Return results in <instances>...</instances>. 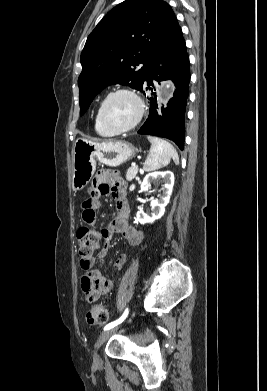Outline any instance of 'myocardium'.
Returning a JSON list of instances; mask_svg holds the SVG:
<instances>
[{
	"label": "myocardium",
	"instance_id": "f54148a6",
	"mask_svg": "<svg viewBox=\"0 0 267 391\" xmlns=\"http://www.w3.org/2000/svg\"><path fill=\"white\" fill-rule=\"evenodd\" d=\"M119 94H127V95L131 96L135 100V102L137 103V106H138V112H137L135 119L133 120V122L131 124H129L128 126H125V127L112 126L111 124H109L107 122L105 115H104V109H105V106H106L107 102L109 101V99L112 98L113 96L119 95ZM144 113H145V104H144L143 99L140 97V95L135 90H133L131 88H126V87H121V88H117V89L110 91L103 98V100L101 101L100 106L98 108V117H99V120H100L102 126L104 128H106L108 131L113 132L115 134L125 133V132H128V131L134 129L142 120Z\"/></svg>",
	"mask_w": 267,
	"mask_h": 391
}]
</instances>
